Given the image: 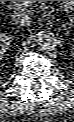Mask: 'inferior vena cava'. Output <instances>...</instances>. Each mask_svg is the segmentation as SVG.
Returning a JSON list of instances; mask_svg holds the SVG:
<instances>
[{
  "mask_svg": "<svg viewBox=\"0 0 74 122\" xmlns=\"http://www.w3.org/2000/svg\"><path fill=\"white\" fill-rule=\"evenodd\" d=\"M11 22L18 26H29L31 23V18L25 12L15 11L11 17Z\"/></svg>",
  "mask_w": 74,
  "mask_h": 122,
  "instance_id": "inferior-vena-cava-1",
  "label": "inferior vena cava"
}]
</instances>
